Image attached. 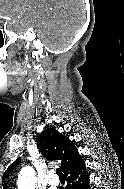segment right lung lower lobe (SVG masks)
Listing matches in <instances>:
<instances>
[{
  "mask_svg": "<svg viewBox=\"0 0 124 189\" xmlns=\"http://www.w3.org/2000/svg\"><path fill=\"white\" fill-rule=\"evenodd\" d=\"M65 177L67 180L65 189H90L89 175L83 160L65 172Z\"/></svg>",
  "mask_w": 124,
  "mask_h": 189,
  "instance_id": "right-lung-lower-lobe-1",
  "label": "right lung lower lobe"
}]
</instances>
